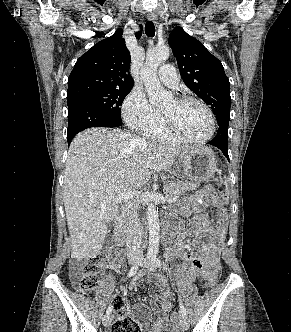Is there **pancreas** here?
Instances as JSON below:
<instances>
[{
    "instance_id": "pancreas-1",
    "label": "pancreas",
    "mask_w": 291,
    "mask_h": 332,
    "mask_svg": "<svg viewBox=\"0 0 291 332\" xmlns=\"http://www.w3.org/2000/svg\"><path fill=\"white\" fill-rule=\"evenodd\" d=\"M200 186V182H190L188 180L182 182H171L164 185V193L166 197L173 198L180 196L183 192L196 190ZM124 223L126 217L124 216Z\"/></svg>"
}]
</instances>
